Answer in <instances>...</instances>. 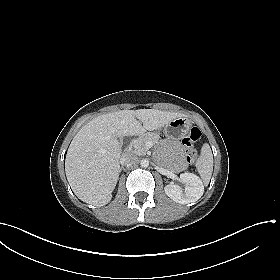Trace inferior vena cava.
Wrapping results in <instances>:
<instances>
[{"instance_id":"602c4592","label":"inferior vena cava","mask_w":280,"mask_h":280,"mask_svg":"<svg viewBox=\"0 0 280 280\" xmlns=\"http://www.w3.org/2000/svg\"><path fill=\"white\" fill-rule=\"evenodd\" d=\"M138 162V157L132 153L123 154L120 158V164L122 166L133 165Z\"/></svg>"}]
</instances>
